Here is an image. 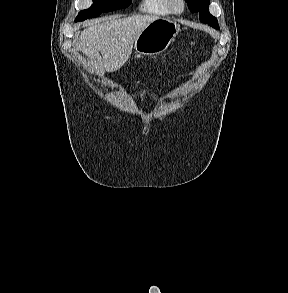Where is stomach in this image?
<instances>
[{
	"label": "stomach",
	"mask_w": 288,
	"mask_h": 293,
	"mask_svg": "<svg viewBox=\"0 0 288 293\" xmlns=\"http://www.w3.org/2000/svg\"><path fill=\"white\" fill-rule=\"evenodd\" d=\"M180 25L167 18L149 23L134 42L135 53L154 56L164 52L179 33Z\"/></svg>",
	"instance_id": "stomach-1"
}]
</instances>
